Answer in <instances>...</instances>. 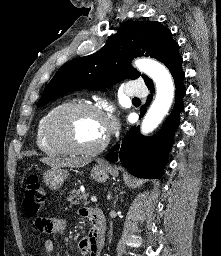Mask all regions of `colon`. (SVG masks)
Here are the masks:
<instances>
[{"label": "colon", "mask_w": 221, "mask_h": 256, "mask_svg": "<svg viewBox=\"0 0 221 256\" xmlns=\"http://www.w3.org/2000/svg\"><path fill=\"white\" fill-rule=\"evenodd\" d=\"M46 195L36 175L28 176L25 183L23 208L29 218H35L45 203Z\"/></svg>", "instance_id": "obj_1"}]
</instances>
